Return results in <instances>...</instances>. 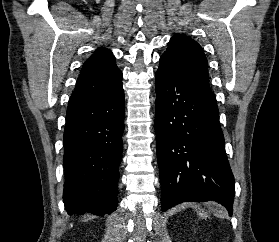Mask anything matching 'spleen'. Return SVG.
I'll list each match as a JSON object with an SVG mask.
<instances>
[{
    "instance_id": "obj_1",
    "label": "spleen",
    "mask_w": 279,
    "mask_h": 242,
    "mask_svg": "<svg viewBox=\"0 0 279 242\" xmlns=\"http://www.w3.org/2000/svg\"><path fill=\"white\" fill-rule=\"evenodd\" d=\"M198 214H199L201 217H203V218L208 217V214H207V213H204V212L201 213V211H199Z\"/></svg>"
}]
</instances>
